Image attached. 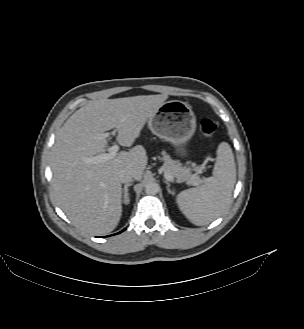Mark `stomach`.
Here are the masks:
<instances>
[{
    "instance_id": "stomach-1",
    "label": "stomach",
    "mask_w": 304,
    "mask_h": 329,
    "mask_svg": "<svg viewBox=\"0 0 304 329\" xmlns=\"http://www.w3.org/2000/svg\"><path fill=\"white\" fill-rule=\"evenodd\" d=\"M153 134L170 142L180 156H186V143L196 128V117L191 107L182 101L164 102L148 121Z\"/></svg>"
}]
</instances>
